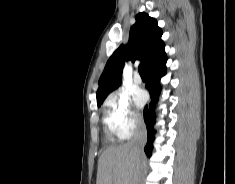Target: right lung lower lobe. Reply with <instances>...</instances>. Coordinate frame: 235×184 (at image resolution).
<instances>
[{
	"label": "right lung lower lobe",
	"instance_id": "1",
	"mask_svg": "<svg viewBox=\"0 0 235 184\" xmlns=\"http://www.w3.org/2000/svg\"><path fill=\"white\" fill-rule=\"evenodd\" d=\"M166 61L167 56L147 69L148 83L146 84V88L149 90L151 96V103L149 105H146L144 108V121L147 127L148 138L147 144L144 147V151L148 157H150L152 153V142L154 140L153 134L155 133V131L152 129L155 118L153 109L155 106L157 94L161 90L160 78L166 74Z\"/></svg>",
	"mask_w": 235,
	"mask_h": 184
}]
</instances>
